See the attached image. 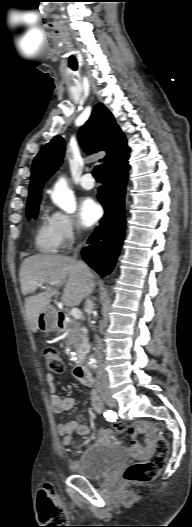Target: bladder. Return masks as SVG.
Wrapping results in <instances>:
<instances>
[{"label":"bladder","instance_id":"bladder-1","mask_svg":"<svg viewBox=\"0 0 192 527\" xmlns=\"http://www.w3.org/2000/svg\"><path fill=\"white\" fill-rule=\"evenodd\" d=\"M127 458L117 446L93 444L74 461V471L87 479L98 480L109 474Z\"/></svg>","mask_w":192,"mask_h":527}]
</instances>
